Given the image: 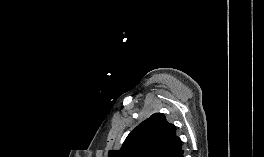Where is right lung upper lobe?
<instances>
[{"label":"right lung upper lobe","mask_w":264,"mask_h":157,"mask_svg":"<svg viewBox=\"0 0 264 157\" xmlns=\"http://www.w3.org/2000/svg\"><path fill=\"white\" fill-rule=\"evenodd\" d=\"M182 142L176 127L165 116L155 113L127 136L120 150L108 157H183Z\"/></svg>","instance_id":"cb5924a9"}]
</instances>
